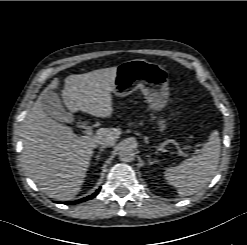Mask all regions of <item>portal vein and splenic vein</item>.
I'll use <instances>...</instances> for the list:
<instances>
[{
	"instance_id": "portal-vein-and-splenic-vein-1",
	"label": "portal vein and splenic vein",
	"mask_w": 247,
	"mask_h": 245,
	"mask_svg": "<svg viewBox=\"0 0 247 245\" xmlns=\"http://www.w3.org/2000/svg\"><path fill=\"white\" fill-rule=\"evenodd\" d=\"M85 133H86V135H92L93 130H92L90 127H87L86 130H85ZM178 154H179L180 156H184V157L187 156V154L184 153V152L181 151V150L178 151Z\"/></svg>"
}]
</instances>
